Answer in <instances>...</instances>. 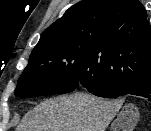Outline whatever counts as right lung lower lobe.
I'll list each match as a JSON object with an SVG mask.
<instances>
[{
    "label": "right lung lower lobe",
    "mask_w": 151,
    "mask_h": 131,
    "mask_svg": "<svg viewBox=\"0 0 151 131\" xmlns=\"http://www.w3.org/2000/svg\"><path fill=\"white\" fill-rule=\"evenodd\" d=\"M79 87L104 98H118L127 94L142 96L151 101V80L138 82H81Z\"/></svg>",
    "instance_id": "1"
}]
</instances>
